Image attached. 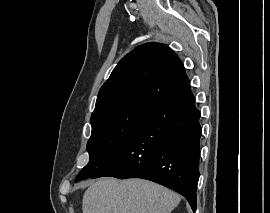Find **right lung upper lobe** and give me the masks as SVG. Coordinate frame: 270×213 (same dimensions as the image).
Masks as SVG:
<instances>
[{"label":"right lung upper lobe","mask_w":270,"mask_h":213,"mask_svg":"<svg viewBox=\"0 0 270 213\" xmlns=\"http://www.w3.org/2000/svg\"><path fill=\"white\" fill-rule=\"evenodd\" d=\"M189 83L171 48L156 42L140 45L120 60L101 87L91 118L133 101L158 104Z\"/></svg>","instance_id":"1"}]
</instances>
